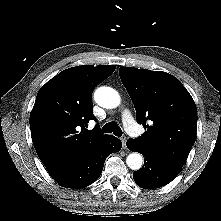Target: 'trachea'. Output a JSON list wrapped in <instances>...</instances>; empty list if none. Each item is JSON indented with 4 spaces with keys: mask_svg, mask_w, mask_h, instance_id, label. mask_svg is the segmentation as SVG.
Instances as JSON below:
<instances>
[{
    "mask_svg": "<svg viewBox=\"0 0 221 221\" xmlns=\"http://www.w3.org/2000/svg\"><path fill=\"white\" fill-rule=\"evenodd\" d=\"M104 133H113L114 135L120 137L122 135V130L116 122H109L105 124L102 128Z\"/></svg>",
    "mask_w": 221,
    "mask_h": 221,
    "instance_id": "trachea-1",
    "label": "trachea"
}]
</instances>
